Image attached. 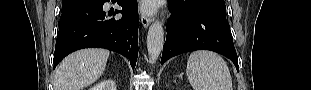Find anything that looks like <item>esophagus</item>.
Masks as SVG:
<instances>
[{
    "label": "esophagus",
    "mask_w": 311,
    "mask_h": 90,
    "mask_svg": "<svg viewBox=\"0 0 311 90\" xmlns=\"http://www.w3.org/2000/svg\"><path fill=\"white\" fill-rule=\"evenodd\" d=\"M140 19L144 28H147L152 21L151 17L147 16L144 12L141 13Z\"/></svg>",
    "instance_id": "34e87169"
}]
</instances>
